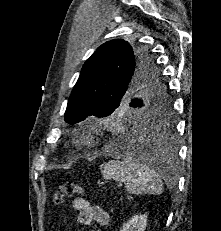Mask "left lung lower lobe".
Segmentation results:
<instances>
[{
  "label": "left lung lower lobe",
  "mask_w": 221,
  "mask_h": 231,
  "mask_svg": "<svg viewBox=\"0 0 221 231\" xmlns=\"http://www.w3.org/2000/svg\"><path fill=\"white\" fill-rule=\"evenodd\" d=\"M173 133L172 123L149 117L123 129L122 137L116 142L123 149L128 146L136 153L139 152L146 165L162 168L165 158L172 157L175 153Z\"/></svg>",
  "instance_id": "0a47b994"
}]
</instances>
